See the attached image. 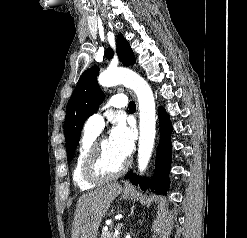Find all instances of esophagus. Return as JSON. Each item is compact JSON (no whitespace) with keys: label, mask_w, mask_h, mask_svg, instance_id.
Segmentation results:
<instances>
[{"label":"esophagus","mask_w":247,"mask_h":238,"mask_svg":"<svg viewBox=\"0 0 247 238\" xmlns=\"http://www.w3.org/2000/svg\"><path fill=\"white\" fill-rule=\"evenodd\" d=\"M132 94V96L135 98V100H136V96L133 94V93H131ZM125 188L126 189H130L131 188V186H130V184L129 183H126L125 184Z\"/></svg>","instance_id":"esophagus-1"}]
</instances>
